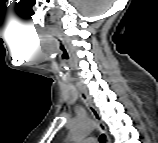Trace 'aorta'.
<instances>
[{
	"label": "aorta",
	"instance_id": "1",
	"mask_svg": "<svg viewBox=\"0 0 158 143\" xmlns=\"http://www.w3.org/2000/svg\"><path fill=\"white\" fill-rule=\"evenodd\" d=\"M93 130V123L88 120L77 121L71 130V138L73 140H81Z\"/></svg>",
	"mask_w": 158,
	"mask_h": 143
}]
</instances>
